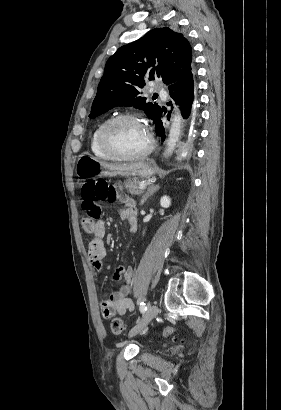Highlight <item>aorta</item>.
<instances>
[{
    "instance_id": "1",
    "label": "aorta",
    "mask_w": 281,
    "mask_h": 410,
    "mask_svg": "<svg viewBox=\"0 0 281 410\" xmlns=\"http://www.w3.org/2000/svg\"><path fill=\"white\" fill-rule=\"evenodd\" d=\"M182 123L183 118L179 109H176L175 113L172 116V123L169 131V136L167 140V147L165 150V156L168 157L172 154L173 150L176 147L177 142L180 139L182 132Z\"/></svg>"
}]
</instances>
